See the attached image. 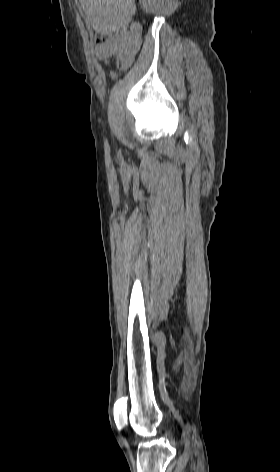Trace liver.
Wrapping results in <instances>:
<instances>
[{
    "label": "liver",
    "mask_w": 280,
    "mask_h": 472,
    "mask_svg": "<svg viewBox=\"0 0 280 472\" xmlns=\"http://www.w3.org/2000/svg\"><path fill=\"white\" fill-rule=\"evenodd\" d=\"M86 20L96 31L108 34L130 23L135 0H80Z\"/></svg>",
    "instance_id": "6515ba94"
}]
</instances>
